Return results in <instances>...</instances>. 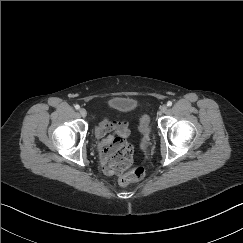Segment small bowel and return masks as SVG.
<instances>
[{
	"label": "small bowel",
	"instance_id": "small-bowel-1",
	"mask_svg": "<svg viewBox=\"0 0 243 243\" xmlns=\"http://www.w3.org/2000/svg\"><path fill=\"white\" fill-rule=\"evenodd\" d=\"M95 135L99 139L98 152L102 171L107 176H121L132 161L128 123L106 118L96 127Z\"/></svg>",
	"mask_w": 243,
	"mask_h": 243
}]
</instances>
